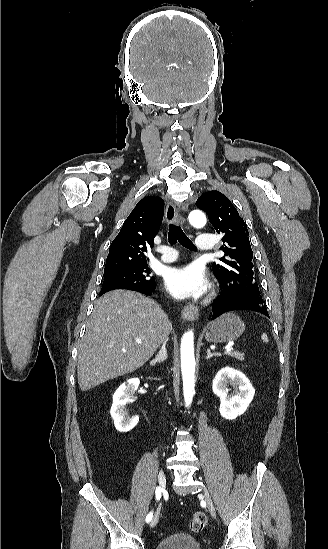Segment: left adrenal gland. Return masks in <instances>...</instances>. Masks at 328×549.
Returning a JSON list of instances; mask_svg holds the SVG:
<instances>
[{"mask_svg": "<svg viewBox=\"0 0 328 549\" xmlns=\"http://www.w3.org/2000/svg\"><path fill=\"white\" fill-rule=\"evenodd\" d=\"M213 355H216V353H211L210 349H207V357H206V359H210V357H213Z\"/></svg>", "mask_w": 328, "mask_h": 549, "instance_id": "a2214340", "label": "left adrenal gland"}]
</instances>
